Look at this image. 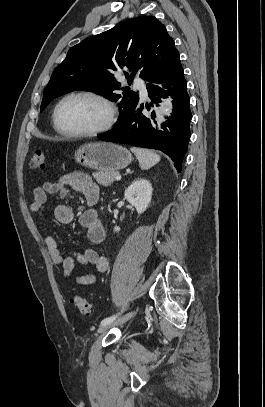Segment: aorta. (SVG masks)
Listing matches in <instances>:
<instances>
[{
	"mask_svg": "<svg viewBox=\"0 0 265 407\" xmlns=\"http://www.w3.org/2000/svg\"><path fill=\"white\" fill-rule=\"evenodd\" d=\"M170 108H171L170 105H166V106L163 108V111H164V112H167L168 110H170Z\"/></svg>",
	"mask_w": 265,
	"mask_h": 407,
	"instance_id": "aorta-1",
	"label": "aorta"
}]
</instances>
